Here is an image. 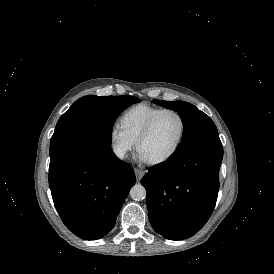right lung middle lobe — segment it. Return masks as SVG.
<instances>
[{
	"mask_svg": "<svg viewBox=\"0 0 274 274\" xmlns=\"http://www.w3.org/2000/svg\"><path fill=\"white\" fill-rule=\"evenodd\" d=\"M140 99L133 96L88 95L60 117L50 141V158L61 150L91 140L111 142V128L119 114Z\"/></svg>",
	"mask_w": 274,
	"mask_h": 274,
	"instance_id": "right-lung-middle-lobe-1",
	"label": "right lung middle lobe"
}]
</instances>
